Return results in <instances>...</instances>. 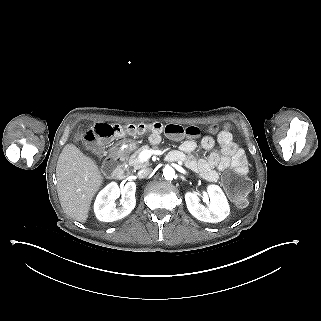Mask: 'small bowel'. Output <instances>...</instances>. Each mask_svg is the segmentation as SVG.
Instances as JSON below:
<instances>
[{
    "label": "small bowel",
    "instance_id": "1",
    "mask_svg": "<svg viewBox=\"0 0 321 321\" xmlns=\"http://www.w3.org/2000/svg\"><path fill=\"white\" fill-rule=\"evenodd\" d=\"M158 136L152 134L151 141H157ZM216 142L219 150L211 152L205 158H196L192 154L197 150V143L194 140H185L180 145V150L173 152L177 160L182 161L190 170L197 172L209 182H216L220 172L228 168L245 172L248 167L244 151L233 140L229 131H222L216 140L212 136H205L201 140V147L204 150L214 148Z\"/></svg>",
    "mask_w": 321,
    "mask_h": 321
}]
</instances>
